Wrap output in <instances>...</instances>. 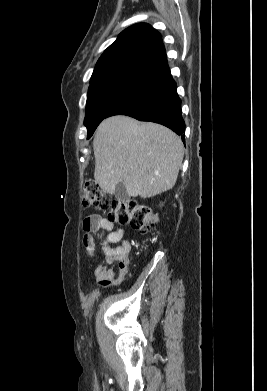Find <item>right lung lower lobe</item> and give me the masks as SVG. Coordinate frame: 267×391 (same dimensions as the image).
<instances>
[{
    "label": "right lung lower lobe",
    "instance_id": "obj_1",
    "mask_svg": "<svg viewBox=\"0 0 267 391\" xmlns=\"http://www.w3.org/2000/svg\"><path fill=\"white\" fill-rule=\"evenodd\" d=\"M176 88L167 67L115 106L107 117L122 114L141 121L159 123L181 135L184 141L185 122Z\"/></svg>",
    "mask_w": 267,
    "mask_h": 391
}]
</instances>
